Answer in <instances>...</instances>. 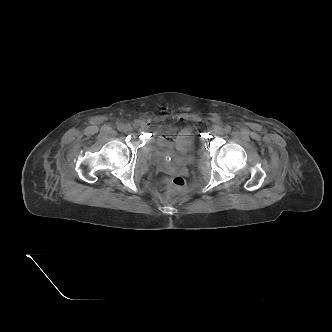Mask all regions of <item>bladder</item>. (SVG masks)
I'll list each match as a JSON object with an SVG mask.
<instances>
[{
  "label": "bladder",
  "instance_id": "bladder-1",
  "mask_svg": "<svg viewBox=\"0 0 332 332\" xmlns=\"http://www.w3.org/2000/svg\"><path fill=\"white\" fill-rule=\"evenodd\" d=\"M147 146L160 165L168 164L167 158L179 164H186L193 158L197 149L196 141L193 138H190L182 147L161 148L153 142H149Z\"/></svg>",
  "mask_w": 332,
  "mask_h": 332
}]
</instances>
